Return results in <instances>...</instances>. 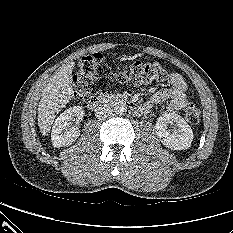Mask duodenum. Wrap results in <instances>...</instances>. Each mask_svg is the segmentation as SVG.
Instances as JSON below:
<instances>
[{"instance_id":"1","label":"duodenum","mask_w":233,"mask_h":233,"mask_svg":"<svg viewBox=\"0 0 233 233\" xmlns=\"http://www.w3.org/2000/svg\"><path fill=\"white\" fill-rule=\"evenodd\" d=\"M108 101L114 104H117V105L128 107L132 109L134 112L139 113V114L146 113V109L143 106L137 105L131 100H128L126 98H121V97H117V98H113L109 100V99H105L99 96H93L89 99L87 106L90 110H98Z\"/></svg>"}]
</instances>
